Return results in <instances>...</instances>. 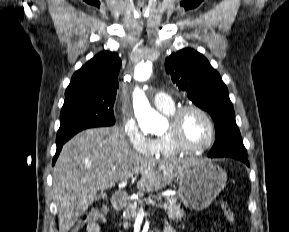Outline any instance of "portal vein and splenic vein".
Returning a JSON list of instances; mask_svg holds the SVG:
<instances>
[{"instance_id":"18ae733b","label":"portal vein and splenic vein","mask_w":289,"mask_h":232,"mask_svg":"<svg viewBox=\"0 0 289 232\" xmlns=\"http://www.w3.org/2000/svg\"><path fill=\"white\" fill-rule=\"evenodd\" d=\"M126 184H127V181H122V182L119 183L118 186H119V188H123V187L126 186ZM140 213H141V214L144 213L143 209H140Z\"/></svg>"}]
</instances>
